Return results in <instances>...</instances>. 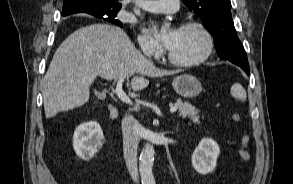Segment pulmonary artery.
<instances>
[{
  "mask_svg": "<svg viewBox=\"0 0 293 184\" xmlns=\"http://www.w3.org/2000/svg\"><path fill=\"white\" fill-rule=\"evenodd\" d=\"M141 7L153 13H174L179 9V0H145Z\"/></svg>",
  "mask_w": 293,
  "mask_h": 184,
  "instance_id": "e3ab8cb5",
  "label": "pulmonary artery"
}]
</instances>
